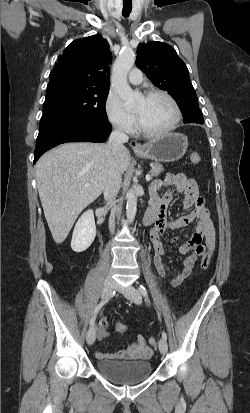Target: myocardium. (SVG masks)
<instances>
[{
    "mask_svg": "<svg viewBox=\"0 0 250 413\" xmlns=\"http://www.w3.org/2000/svg\"><path fill=\"white\" fill-rule=\"evenodd\" d=\"M153 96H162L171 103V105L174 109V112H175V117H174V120H173L172 124L168 128H166L162 131L152 132V131L147 130L142 125L139 117L137 116V125H138V130L142 135H144L148 138H160V137H163V136H166V135L170 134L171 132H173L177 128L178 124L181 121L182 113H181V109L179 107V104L174 99V97L172 95H170L168 92H166L164 90H160V89H151V90H148L145 93L144 97L145 98H150V97H153Z\"/></svg>",
    "mask_w": 250,
    "mask_h": 413,
    "instance_id": "1",
    "label": "myocardium"
}]
</instances>
